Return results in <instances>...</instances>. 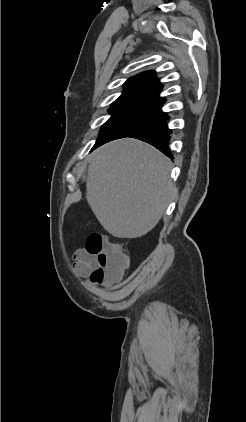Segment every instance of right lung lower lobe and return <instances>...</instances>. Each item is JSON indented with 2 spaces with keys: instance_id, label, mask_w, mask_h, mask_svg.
Returning a JSON list of instances; mask_svg holds the SVG:
<instances>
[{
  "instance_id": "right-lung-lower-lobe-1",
  "label": "right lung lower lobe",
  "mask_w": 246,
  "mask_h": 422,
  "mask_svg": "<svg viewBox=\"0 0 246 422\" xmlns=\"http://www.w3.org/2000/svg\"><path fill=\"white\" fill-rule=\"evenodd\" d=\"M167 119H169V116L167 113H163L158 120L134 132L128 137L145 141L159 149L166 156L170 157L172 155L170 154L168 143L170 140V133H172V131L167 126Z\"/></svg>"
}]
</instances>
